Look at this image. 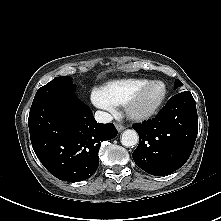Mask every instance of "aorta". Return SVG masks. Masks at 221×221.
<instances>
[{"label":"aorta","mask_w":221,"mask_h":221,"mask_svg":"<svg viewBox=\"0 0 221 221\" xmlns=\"http://www.w3.org/2000/svg\"><path fill=\"white\" fill-rule=\"evenodd\" d=\"M121 143L125 147H134L138 143V134L135 130H125L121 136Z\"/></svg>","instance_id":"1"}]
</instances>
